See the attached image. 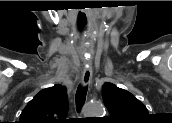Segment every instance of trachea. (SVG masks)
Returning <instances> with one entry per match:
<instances>
[{
	"instance_id": "3493384b",
	"label": "trachea",
	"mask_w": 172,
	"mask_h": 123,
	"mask_svg": "<svg viewBox=\"0 0 172 123\" xmlns=\"http://www.w3.org/2000/svg\"><path fill=\"white\" fill-rule=\"evenodd\" d=\"M86 95H87V86L85 87H78L76 91V96H75V101H76V108L77 111L79 112L86 100Z\"/></svg>"
}]
</instances>
